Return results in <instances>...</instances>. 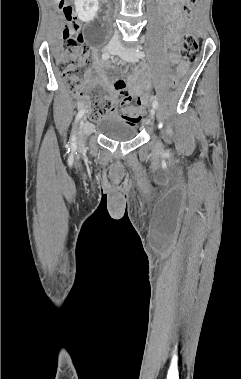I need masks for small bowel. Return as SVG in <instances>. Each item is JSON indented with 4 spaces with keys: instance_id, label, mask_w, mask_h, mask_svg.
<instances>
[{
    "instance_id": "small-bowel-1",
    "label": "small bowel",
    "mask_w": 241,
    "mask_h": 379,
    "mask_svg": "<svg viewBox=\"0 0 241 379\" xmlns=\"http://www.w3.org/2000/svg\"><path fill=\"white\" fill-rule=\"evenodd\" d=\"M179 3L180 0L164 1V7L166 9V12L168 13L169 18L173 21V25L170 27L167 36L168 45L172 50L169 54V59L172 63L179 62V55L177 51L179 49L180 35L186 25L184 19L180 14ZM184 70L185 65L180 64L178 67V73L182 74ZM95 72L98 75V80L93 77H90L91 74H89V78L87 81L88 85H93L97 81H99L108 91L111 100L114 103H119L121 107L119 111V117L133 125H142L143 121L145 120V112H143V106L145 103L141 102V99L139 98V93L143 92L144 87H150L149 81L146 78V73L140 72L129 76L127 79L129 91H127L125 86L126 94H123L119 89L116 88V86V90L112 89L106 77L104 66L100 64L96 65ZM116 91H118L123 96L119 101Z\"/></svg>"
}]
</instances>
